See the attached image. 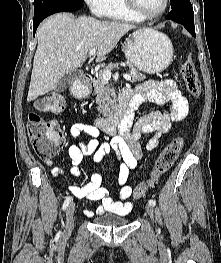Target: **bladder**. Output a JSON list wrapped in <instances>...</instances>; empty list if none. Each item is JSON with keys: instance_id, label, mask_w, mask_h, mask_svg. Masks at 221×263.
<instances>
[{"instance_id": "31cf9c89", "label": "bladder", "mask_w": 221, "mask_h": 263, "mask_svg": "<svg viewBox=\"0 0 221 263\" xmlns=\"http://www.w3.org/2000/svg\"><path fill=\"white\" fill-rule=\"evenodd\" d=\"M94 223L98 226L118 227L127 225L128 220L118 215H102L95 217Z\"/></svg>"}]
</instances>
